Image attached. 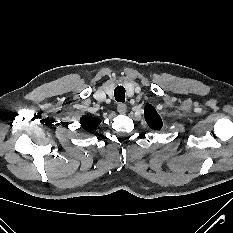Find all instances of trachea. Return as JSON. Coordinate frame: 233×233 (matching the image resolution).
<instances>
[{"label":"trachea","instance_id":"1","mask_svg":"<svg viewBox=\"0 0 233 233\" xmlns=\"http://www.w3.org/2000/svg\"><path fill=\"white\" fill-rule=\"evenodd\" d=\"M114 96L117 102H125V88L122 86H117L114 90Z\"/></svg>","mask_w":233,"mask_h":233}]
</instances>
